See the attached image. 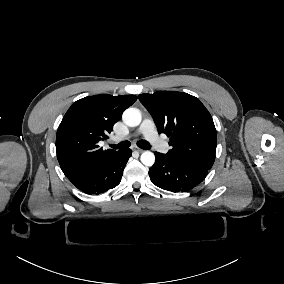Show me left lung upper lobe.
<instances>
[{"instance_id":"5c2ea615","label":"left lung upper lobe","mask_w":284,"mask_h":284,"mask_svg":"<svg viewBox=\"0 0 284 284\" xmlns=\"http://www.w3.org/2000/svg\"><path fill=\"white\" fill-rule=\"evenodd\" d=\"M139 100L152 115L159 133L170 137L169 158L211 169L217 137L213 119L196 97L183 92L140 94Z\"/></svg>"}]
</instances>
